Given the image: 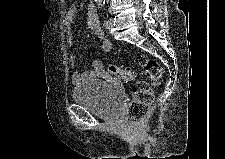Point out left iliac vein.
Returning <instances> with one entry per match:
<instances>
[{
	"label": "left iliac vein",
	"mask_w": 225,
	"mask_h": 159,
	"mask_svg": "<svg viewBox=\"0 0 225 159\" xmlns=\"http://www.w3.org/2000/svg\"><path fill=\"white\" fill-rule=\"evenodd\" d=\"M114 20L113 19H109L108 20V24L105 26L106 29H111L113 26Z\"/></svg>",
	"instance_id": "left-iliac-vein-1"
}]
</instances>
